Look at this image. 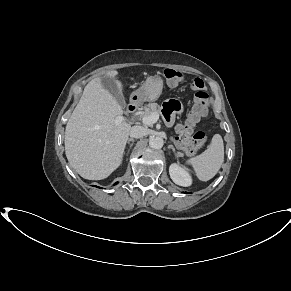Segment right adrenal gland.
Segmentation results:
<instances>
[{"mask_svg": "<svg viewBox=\"0 0 291 291\" xmlns=\"http://www.w3.org/2000/svg\"><path fill=\"white\" fill-rule=\"evenodd\" d=\"M130 142H134V139H132V138L128 139V144H129ZM130 147H132V144H131Z\"/></svg>", "mask_w": 291, "mask_h": 291, "instance_id": "right-adrenal-gland-1", "label": "right adrenal gland"}]
</instances>
